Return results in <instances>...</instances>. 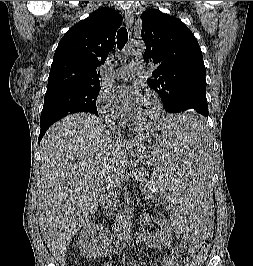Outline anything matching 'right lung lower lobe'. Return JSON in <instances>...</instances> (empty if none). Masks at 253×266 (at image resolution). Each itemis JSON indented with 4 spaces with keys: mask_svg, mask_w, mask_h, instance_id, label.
I'll return each mask as SVG.
<instances>
[{
    "mask_svg": "<svg viewBox=\"0 0 253 266\" xmlns=\"http://www.w3.org/2000/svg\"><path fill=\"white\" fill-rule=\"evenodd\" d=\"M49 127H41V129H40V135H39V141L42 139L43 135L45 134V132L47 131V129Z\"/></svg>",
    "mask_w": 253,
    "mask_h": 266,
    "instance_id": "1",
    "label": "right lung lower lobe"
}]
</instances>
